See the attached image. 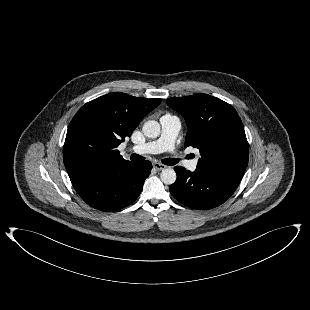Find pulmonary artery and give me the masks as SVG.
<instances>
[{
    "label": "pulmonary artery",
    "instance_id": "1",
    "mask_svg": "<svg viewBox=\"0 0 310 310\" xmlns=\"http://www.w3.org/2000/svg\"><path fill=\"white\" fill-rule=\"evenodd\" d=\"M161 135L157 140L142 144L135 145L128 148L137 154H158L162 152H172L176 137L178 136L181 123L177 116L172 114H165L160 118ZM184 166L190 170L195 171L198 166V159L185 160Z\"/></svg>",
    "mask_w": 310,
    "mask_h": 310
}]
</instances>
